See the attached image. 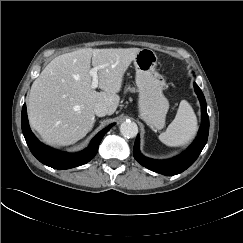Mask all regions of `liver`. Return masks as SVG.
I'll return each instance as SVG.
<instances>
[{
  "instance_id": "obj_1",
  "label": "liver",
  "mask_w": 243,
  "mask_h": 243,
  "mask_svg": "<svg viewBox=\"0 0 243 243\" xmlns=\"http://www.w3.org/2000/svg\"><path fill=\"white\" fill-rule=\"evenodd\" d=\"M141 49L84 48L55 57L33 82L28 117L33 129L49 145H72L84 138L95 122L94 107L107 106L112 115L125 71ZM91 65L98 70L99 88L91 87Z\"/></svg>"
}]
</instances>
